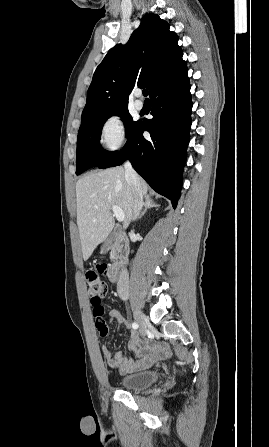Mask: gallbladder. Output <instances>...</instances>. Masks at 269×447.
Segmentation results:
<instances>
[{"label":"gallbladder","instance_id":"1","mask_svg":"<svg viewBox=\"0 0 269 447\" xmlns=\"http://www.w3.org/2000/svg\"><path fill=\"white\" fill-rule=\"evenodd\" d=\"M115 235H116V231H113V233H111L110 237H108V239H106V241H103V243L101 245L100 253H107V251H109V249L111 247V243H113V241L115 239Z\"/></svg>","mask_w":269,"mask_h":447}]
</instances>
